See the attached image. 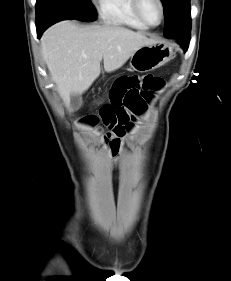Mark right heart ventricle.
I'll list each match as a JSON object with an SVG mask.
<instances>
[{
  "mask_svg": "<svg viewBox=\"0 0 231 281\" xmlns=\"http://www.w3.org/2000/svg\"><path fill=\"white\" fill-rule=\"evenodd\" d=\"M98 12L101 19L112 25H122L138 30H147L137 16L133 0H97Z\"/></svg>",
  "mask_w": 231,
  "mask_h": 281,
  "instance_id": "1",
  "label": "right heart ventricle"
}]
</instances>
